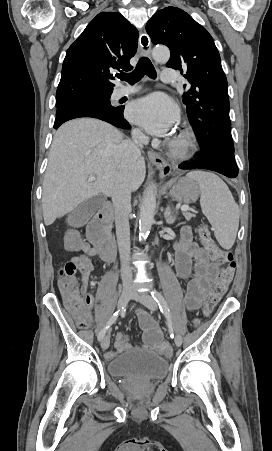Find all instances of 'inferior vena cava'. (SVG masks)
Wrapping results in <instances>:
<instances>
[{
  "instance_id": "1",
  "label": "inferior vena cava",
  "mask_w": 272,
  "mask_h": 451,
  "mask_svg": "<svg viewBox=\"0 0 272 451\" xmlns=\"http://www.w3.org/2000/svg\"><path fill=\"white\" fill-rule=\"evenodd\" d=\"M132 140L133 142H122V144H119L114 156L116 172L112 202L115 210L116 235L121 259V279L123 285H133L132 269L129 265L130 227L128 216L131 210L130 170H132L136 160L141 156L139 148H143V144H148L149 138L144 136L140 130H134L132 132Z\"/></svg>"
}]
</instances>
